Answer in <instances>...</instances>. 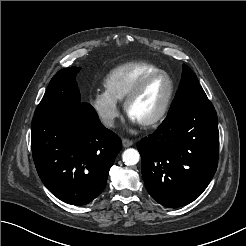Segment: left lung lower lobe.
Segmentation results:
<instances>
[{"label": "left lung lower lobe", "mask_w": 246, "mask_h": 246, "mask_svg": "<svg viewBox=\"0 0 246 246\" xmlns=\"http://www.w3.org/2000/svg\"><path fill=\"white\" fill-rule=\"evenodd\" d=\"M137 148L151 197L170 208L191 203L206 189L218 165L214 106L207 99L178 109Z\"/></svg>", "instance_id": "1"}]
</instances>
